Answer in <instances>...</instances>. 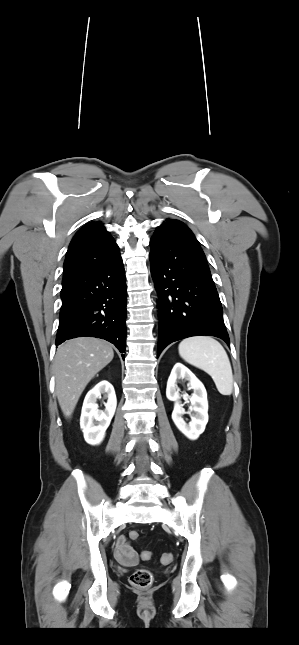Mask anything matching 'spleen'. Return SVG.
Listing matches in <instances>:
<instances>
[{
    "mask_svg": "<svg viewBox=\"0 0 299 645\" xmlns=\"http://www.w3.org/2000/svg\"><path fill=\"white\" fill-rule=\"evenodd\" d=\"M179 355L189 364L205 371L213 379L222 395H231L233 374L228 355L223 346L209 336H195L182 340Z\"/></svg>",
    "mask_w": 299,
    "mask_h": 645,
    "instance_id": "obj_1",
    "label": "spleen"
}]
</instances>
